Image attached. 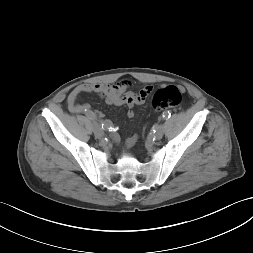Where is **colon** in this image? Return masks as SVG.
<instances>
[{
    "label": "colon",
    "mask_w": 253,
    "mask_h": 253,
    "mask_svg": "<svg viewBox=\"0 0 253 253\" xmlns=\"http://www.w3.org/2000/svg\"><path fill=\"white\" fill-rule=\"evenodd\" d=\"M182 101V95L176 86H166L158 89L152 99L156 110L176 109Z\"/></svg>",
    "instance_id": "colon-1"
}]
</instances>
